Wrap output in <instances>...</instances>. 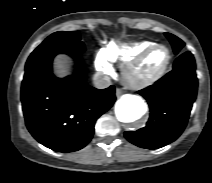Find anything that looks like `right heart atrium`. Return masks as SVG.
<instances>
[{
	"label": "right heart atrium",
	"instance_id": "obj_1",
	"mask_svg": "<svg viewBox=\"0 0 212 183\" xmlns=\"http://www.w3.org/2000/svg\"><path fill=\"white\" fill-rule=\"evenodd\" d=\"M95 64L97 70L102 74H110L111 73V66L109 61L105 57L103 51L97 53L95 58Z\"/></svg>",
	"mask_w": 212,
	"mask_h": 183
}]
</instances>
